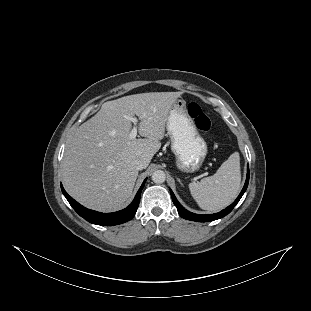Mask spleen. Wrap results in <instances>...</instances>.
I'll use <instances>...</instances> for the list:
<instances>
[{
	"instance_id": "spleen-1",
	"label": "spleen",
	"mask_w": 311,
	"mask_h": 311,
	"mask_svg": "<svg viewBox=\"0 0 311 311\" xmlns=\"http://www.w3.org/2000/svg\"><path fill=\"white\" fill-rule=\"evenodd\" d=\"M196 204L204 210L218 211L232 202L240 190L239 155L232 153L217 171L199 182L188 184Z\"/></svg>"
}]
</instances>
